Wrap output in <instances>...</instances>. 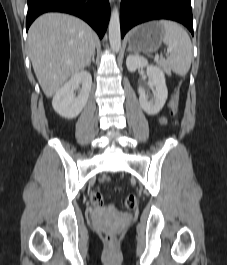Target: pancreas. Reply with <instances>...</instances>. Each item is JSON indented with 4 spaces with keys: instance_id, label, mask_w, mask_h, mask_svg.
Wrapping results in <instances>:
<instances>
[{
    "instance_id": "obj_1",
    "label": "pancreas",
    "mask_w": 227,
    "mask_h": 265,
    "mask_svg": "<svg viewBox=\"0 0 227 265\" xmlns=\"http://www.w3.org/2000/svg\"><path fill=\"white\" fill-rule=\"evenodd\" d=\"M160 64V66L164 69V71L168 74V75H171V72H170V70L163 64V63H159Z\"/></svg>"
}]
</instances>
